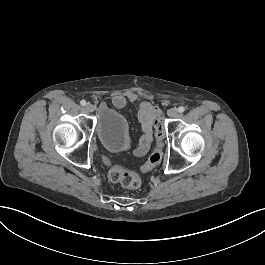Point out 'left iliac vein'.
<instances>
[{
  "label": "left iliac vein",
  "mask_w": 265,
  "mask_h": 265,
  "mask_svg": "<svg viewBox=\"0 0 265 265\" xmlns=\"http://www.w3.org/2000/svg\"><path fill=\"white\" fill-rule=\"evenodd\" d=\"M168 116L171 117V118H175L177 117L178 115V112L175 108H172L170 109L168 112H167Z\"/></svg>",
  "instance_id": "4c4485c4"
}]
</instances>
